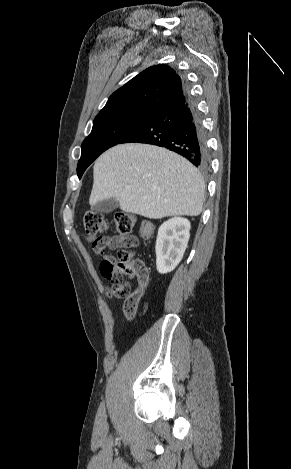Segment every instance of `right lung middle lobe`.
Returning <instances> with one entry per match:
<instances>
[{
  "instance_id": "obj_1",
  "label": "right lung middle lobe",
  "mask_w": 291,
  "mask_h": 469,
  "mask_svg": "<svg viewBox=\"0 0 291 469\" xmlns=\"http://www.w3.org/2000/svg\"><path fill=\"white\" fill-rule=\"evenodd\" d=\"M152 113L144 110H126L96 117L90 135L82 143V155L77 167L79 178L101 153L120 143Z\"/></svg>"
}]
</instances>
